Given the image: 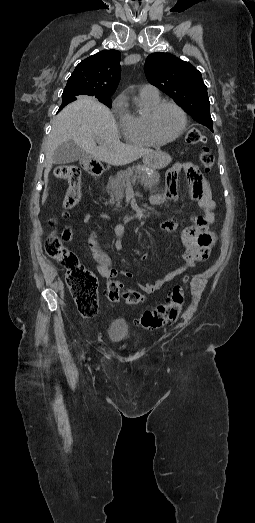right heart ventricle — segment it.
Segmentation results:
<instances>
[{"label": "right heart ventricle", "instance_id": "obj_1", "mask_svg": "<svg viewBox=\"0 0 255 523\" xmlns=\"http://www.w3.org/2000/svg\"><path fill=\"white\" fill-rule=\"evenodd\" d=\"M160 102L159 94L140 92L139 109L143 111L124 108L118 114V125L122 138L128 144L135 146H152L157 142L149 135L146 129V116L148 111Z\"/></svg>", "mask_w": 255, "mask_h": 523}]
</instances>
